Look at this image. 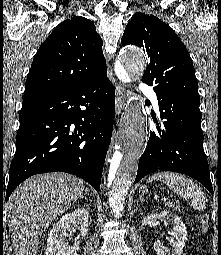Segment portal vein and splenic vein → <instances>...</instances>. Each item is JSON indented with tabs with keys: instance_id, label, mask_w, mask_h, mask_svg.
I'll list each match as a JSON object with an SVG mask.
<instances>
[{
	"instance_id": "1",
	"label": "portal vein and splenic vein",
	"mask_w": 221,
	"mask_h": 255,
	"mask_svg": "<svg viewBox=\"0 0 221 255\" xmlns=\"http://www.w3.org/2000/svg\"><path fill=\"white\" fill-rule=\"evenodd\" d=\"M171 204V202H168L167 205Z\"/></svg>"
}]
</instances>
